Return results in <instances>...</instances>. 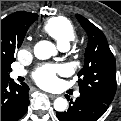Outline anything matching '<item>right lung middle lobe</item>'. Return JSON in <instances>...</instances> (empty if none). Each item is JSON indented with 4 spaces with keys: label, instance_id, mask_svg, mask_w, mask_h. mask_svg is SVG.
Returning a JSON list of instances; mask_svg holds the SVG:
<instances>
[{
    "label": "right lung middle lobe",
    "instance_id": "obj_1",
    "mask_svg": "<svg viewBox=\"0 0 121 121\" xmlns=\"http://www.w3.org/2000/svg\"><path fill=\"white\" fill-rule=\"evenodd\" d=\"M27 30H28V27H22L19 29V31H18V37L20 40L19 46L22 44V41L24 39V36H25ZM12 62H14V58L1 61V79L9 77V72L11 71Z\"/></svg>",
    "mask_w": 121,
    "mask_h": 121
}]
</instances>
